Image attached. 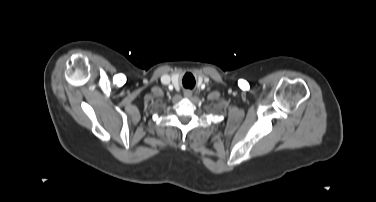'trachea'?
I'll return each instance as SVG.
<instances>
[{"mask_svg": "<svg viewBox=\"0 0 376 202\" xmlns=\"http://www.w3.org/2000/svg\"><path fill=\"white\" fill-rule=\"evenodd\" d=\"M194 85H195V81L194 82H192L190 85H188L187 87H189V88H193L194 87Z\"/></svg>", "mask_w": 376, "mask_h": 202, "instance_id": "obj_1", "label": "trachea"}]
</instances>
